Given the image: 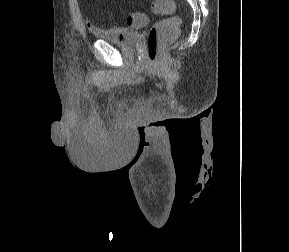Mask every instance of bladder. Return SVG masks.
I'll return each mask as SVG.
<instances>
[{"instance_id":"bladder-1","label":"bladder","mask_w":289,"mask_h":252,"mask_svg":"<svg viewBox=\"0 0 289 252\" xmlns=\"http://www.w3.org/2000/svg\"><path fill=\"white\" fill-rule=\"evenodd\" d=\"M91 32L96 38L121 47H133L140 41V33L137 30L124 27H92Z\"/></svg>"}]
</instances>
